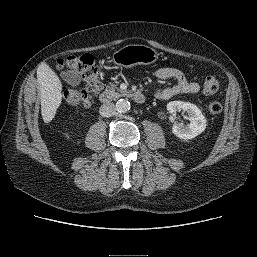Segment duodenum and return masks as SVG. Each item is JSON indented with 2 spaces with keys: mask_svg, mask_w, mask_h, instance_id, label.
Returning <instances> with one entry per match:
<instances>
[{
  "mask_svg": "<svg viewBox=\"0 0 257 257\" xmlns=\"http://www.w3.org/2000/svg\"><path fill=\"white\" fill-rule=\"evenodd\" d=\"M130 97L138 104H143L146 100L145 95L143 92L137 90L129 93ZM101 103H108L110 100V96L106 93H102L99 97Z\"/></svg>",
  "mask_w": 257,
  "mask_h": 257,
  "instance_id": "duodenum-1",
  "label": "duodenum"
}]
</instances>
